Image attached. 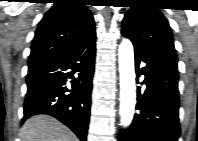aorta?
Instances as JSON below:
<instances>
[{
	"label": "aorta",
	"instance_id": "1",
	"mask_svg": "<svg viewBox=\"0 0 198 141\" xmlns=\"http://www.w3.org/2000/svg\"><path fill=\"white\" fill-rule=\"evenodd\" d=\"M120 72V122L128 127L134 116L136 103L134 49L130 40L123 39L118 49Z\"/></svg>",
	"mask_w": 198,
	"mask_h": 141
}]
</instances>
